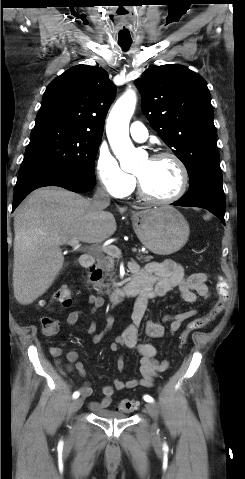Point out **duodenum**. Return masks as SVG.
Segmentation results:
<instances>
[{
	"label": "duodenum",
	"mask_w": 245,
	"mask_h": 479,
	"mask_svg": "<svg viewBox=\"0 0 245 479\" xmlns=\"http://www.w3.org/2000/svg\"><path fill=\"white\" fill-rule=\"evenodd\" d=\"M94 257L92 254L88 253L82 258V266L90 270L94 269ZM142 289V283L140 279L135 276L131 280L127 281L120 288L112 291L110 293V299L114 303H120L127 298H133L140 294Z\"/></svg>",
	"instance_id": "obj_1"
}]
</instances>
